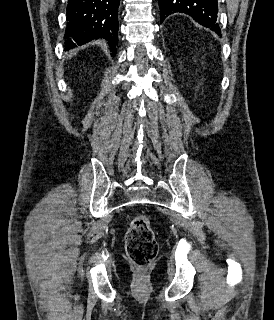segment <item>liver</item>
I'll return each mask as SVG.
<instances>
[{
    "label": "liver",
    "mask_w": 274,
    "mask_h": 320,
    "mask_svg": "<svg viewBox=\"0 0 274 320\" xmlns=\"http://www.w3.org/2000/svg\"><path fill=\"white\" fill-rule=\"evenodd\" d=\"M78 50H72V52H70V56H68V58H72V56H75V54H77Z\"/></svg>",
    "instance_id": "obj_1"
}]
</instances>
